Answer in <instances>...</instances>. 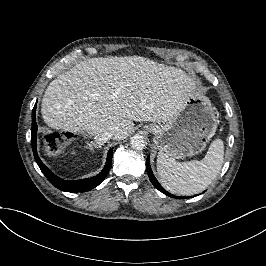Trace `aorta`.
<instances>
[{
    "instance_id": "aorta-1",
    "label": "aorta",
    "mask_w": 266,
    "mask_h": 266,
    "mask_svg": "<svg viewBox=\"0 0 266 266\" xmlns=\"http://www.w3.org/2000/svg\"><path fill=\"white\" fill-rule=\"evenodd\" d=\"M130 145L134 150L140 151L146 147L147 143L143 136L135 135L130 140Z\"/></svg>"
}]
</instances>
